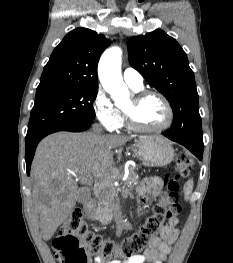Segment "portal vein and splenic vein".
<instances>
[{
	"instance_id": "1",
	"label": "portal vein and splenic vein",
	"mask_w": 233,
	"mask_h": 263,
	"mask_svg": "<svg viewBox=\"0 0 233 263\" xmlns=\"http://www.w3.org/2000/svg\"><path fill=\"white\" fill-rule=\"evenodd\" d=\"M79 180H80V182H82L83 184H86V185H91L93 182V178H92L90 172H86V173L82 174L81 176H79Z\"/></svg>"
}]
</instances>
